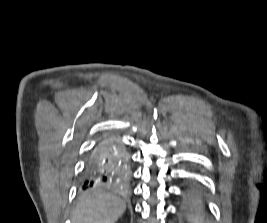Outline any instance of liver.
I'll use <instances>...</instances> for the list:
<instances>
[{
  "label": "liver",
  "mask_w": 267,
  "mask_h": 223,
  "mask_svg": "<svg viewBox=\"0 0 267 223\" xmlns=\"http://www.w3.org/2000/svg\"><path fill=\"white\" fill-rule=\"evenodd\" d=\"M126 204L104 191L87 192L77 202L73 223H115L125 212Z\"/></svg>",
  "instance_id": "liver-1"
}]
</instances>
